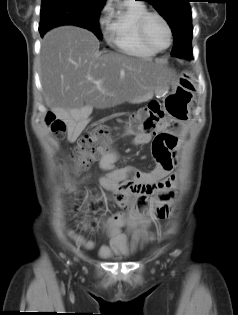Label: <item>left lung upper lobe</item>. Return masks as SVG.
<instances>
[{
	"label": "left lung upper lobe",
	"mask_w": 238,
	"mask_h": 315,
	"mask_svg": "<svg viewBox=\"0 0 238 315\" xmlns=\"http://www.w3.org/2000/svg\"><path fill=\"white\" fill-rule=\"evenodd\" d=\"M151 3L169 24L173 37L183 35L192 40V19L189 0H144Z\"/></svg>",
	"instance_id": "5c2ea615"
}]
</instances>
